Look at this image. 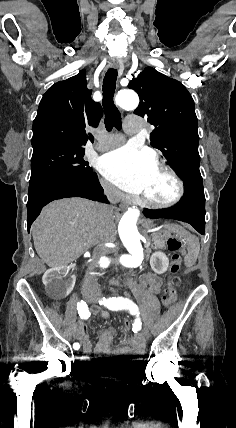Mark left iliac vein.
Listing matches in <instances>:
<instances>
[{
    "label": "left iliac vein",
    "instance_id": "1",
    "mask_svg": "<svg viewBox=\"0 0 236 428\" xmlns=\"http://www.w3.org/2000/svg\"><path fill=\"white\" fill-rule=\"evenodd\" d=\"M98 295H99L100 297H102L104 294H103L102 292H100ZM142 332H143L144 334H147V333H148V330H147L146 328H143V329H142Z\"/></svg>",
    "mask_w": 236,
    "mask_h": 428
}]
</instances>
